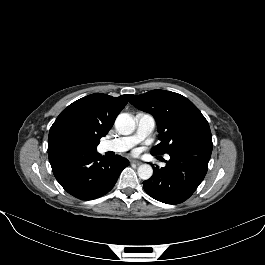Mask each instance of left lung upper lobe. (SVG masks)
<instances>
[{
  "label": "left lung upper lobe",
  "mask_w": 265,
  "mask_h": 265,
  "mask_svg": "<svg viewBox=\"0 0 265 265\" xmlns=\"http://www.w3.org/2000/svg\"><path fill=\"white\" fill-rule=\"evenodd\" d=\"M130 103L150 113L157 122L160 143L151 153L162 155L202 138H211L209 124L199 109L186 97L165 90L132 95Z\"/></svg>",
  "instance_id": "left-lung-upper-lobe-1"
}]
</instances>
